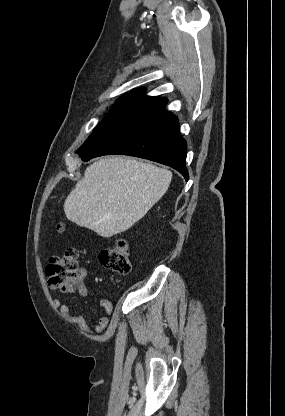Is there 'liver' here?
I'll return each instance as SVG.
<instances>
[{"instance_id": "liver-1", "label": "liver", "mask_w": 285, "mask_h": 416, "mask_svg": "<svg viewBox=\"0 0 285 416\" xmlns=\"http://www.w3.org/2000/svg\"><path fill=\"white\" fill-rule=\"evenodd\" d=\"M172 172L124 158H102L64 202L66 218L102 238L126 232L167 192Z\"/></svg>"}]
</instances>
